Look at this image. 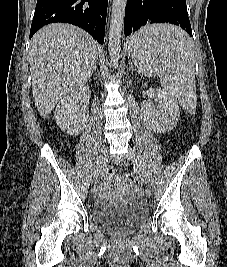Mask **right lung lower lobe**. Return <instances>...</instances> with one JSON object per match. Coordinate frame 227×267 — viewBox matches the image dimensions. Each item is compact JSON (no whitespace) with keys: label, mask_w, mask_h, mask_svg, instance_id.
<instances>
[{"label":"right lung lower lobe","mask_w":227,"mask_h":267,"mask_svg":"<svg viewBox=\"0 0 227 267\" xmlns=\"http://www.w3.org/2000/svg\"><path fill=\"white\" fill-rule=\"evenodd\" d=\"M108 0H37L30 38L43 26L71 23L104 43Z\"/></svg>","instance_id":"98d812e1"}]
</instances>
